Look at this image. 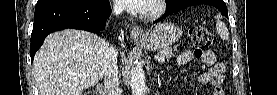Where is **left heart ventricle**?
I'll return each instance as SVG.
<instances>
[{
	"label": "left heart ventricle",
	"instance_id": "1",
	"mask_svg": "<svg viewBox=\"0 0 277 95\" xmlns=\"http://www.w3.org/2000/svg\"><path fill=\"white\" fill-rule=\"evenodd\" d=\"M152 1H148V3L145 5V7L143 8L144 10H151L153 9L154 5L152 4Z\"/></svg>",
	"mask_w": 277,
	"mask_h": 95
}]
</instances>
